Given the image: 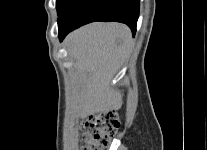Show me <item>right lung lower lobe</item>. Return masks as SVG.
<instances>
[{"label":"right lung lower lobe","instance_id":"1","mask_svg":"<svg viewBox=\"0 0 207 150\" xmlns=\"http://www.w3.org/2000/svg\"><path fill=\"white\" fill-rule=\"evenodd\" d=\"M138 16L139 0H71L58 17L59 38L94 21L125 23L134 36Z\"/></svg>","mask_w":207,"mask_h":150}]
</instances>
